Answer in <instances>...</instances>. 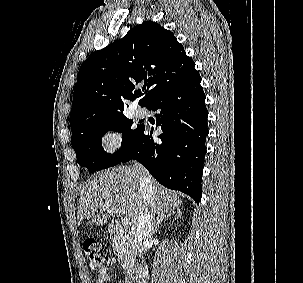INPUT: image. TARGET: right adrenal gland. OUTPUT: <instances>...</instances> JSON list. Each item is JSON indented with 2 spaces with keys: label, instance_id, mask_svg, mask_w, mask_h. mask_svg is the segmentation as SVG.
<instances>
[{
  "label": "right adrenal gland",
  "instance_id": "1",
  "mask_svg": "<svg viewBox=\"0 0 303 283\" xmlns=\"http://www.w3.org/2000/svg\"><path fill=\"white\" fill-rule=\"evenodd\" d=\"M181 211L180 210H177L176 212H173L172 214H168V215H161L160 217L157 218V224H156V227H155V230H154V233H157L158 230H159V227L160 225L162 224V222L166 219H168L169 217H171L172 215L173 216H181Z\"/></svg>",
  "mask_w": 303,
  "mask_h": 283
}]
</instances>
